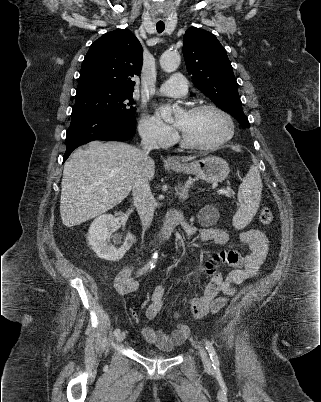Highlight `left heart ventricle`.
Instances as JSON below:
<instances>
[{"instance_id":"obj_1","label":"left heart ventricle","mask_w":321,"mask_h":402,"mask_svg":"<svg viewBox=\"0 0 321 402\" xmlns=\"http://www.w3.org/2000/svg\"><path fill=\"white\" fill-rule=\"evenodd\" d=\"M178 120L182 121L181 131L186 137L196 143H213L224 137L228 125L222 115L214 110L185 112Z\"/></svg>"}]
</instances>
